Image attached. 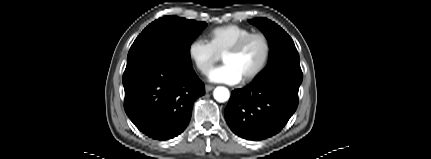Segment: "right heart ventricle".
<instances>
[{
	"mask_svg": "<svg viewBox=\"0 0 431 159\" xmlns=\"http://www.w3.org/2000/svg\"><path fill=\"white\" fill-rule=\"evenodd\" d=\"M251 33L253 31L250 28L241 25H223L209 32V42L219 55H223L229 48Z\"/></svg>",
	"mask_w": 431,
	"mask_h": 159,
	"instance_id": "e07e8e85",
	"label": "right heart ventricle"
}]
</instances>
